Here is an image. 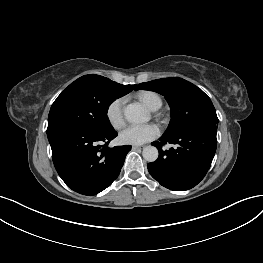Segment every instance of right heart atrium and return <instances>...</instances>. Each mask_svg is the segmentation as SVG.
Here are the masks:
<instances>
[{
	"label": "right heart atrium",
	"instance_id": "obj_1",
	"mask_svg": "<svg viewBox=\"0 0 263 263\" xmlns=\"http://www.w3.org/2000/svg\"><path fill=\"white\" fill-rule=\"evenodd\" d=\"M123 105L124 98L119 97L111 101L106 108V118L114 129H120L124 126Z\"/></svg>",
	"mask_w": 263,
	"mask_h": 263
}]
</instances>
